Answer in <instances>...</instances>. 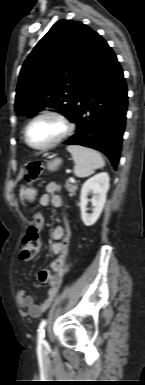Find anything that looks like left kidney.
<instances>
[{
    "label": "left kidney",
    "mask_w": 145,
    "mask_h": 385,
    "mask_svg": "<svg viewBox=\"0 0 145 385\" xmlns=\"http://www.w3.org/2000/svg\"><path fill=\"white\" fill-rule=\"evenodd\" d=\"M109 175L106 172H101L89 178L82 186L80 194V210L81 218L86 226L93 225L100 217L104 204L106 202V194L109 190ZM92 192L93 198L90 200L93 205V212L88 214L87 204L89 202L87 196Z\"/></svg>",
    "instance_id": "obj_1"
}]
</instances>
